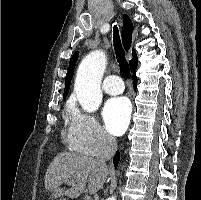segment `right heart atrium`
Here are the masks:
<instances>
[{
	"instance_id": "right-heart-atrium-1",
	"label": "right heart atrium",
	"mask_w": 201,
	"mask_h": 200,
	"mask_svg": "<svg viewBox=\"0 0 201 200\" xmlns=\"http://www.w3.org/2000/svg\"><path fill=\"white\" fill-rule=\"evenodd\" d=\"M69 119L68 139L70 145L80 153L99 155L114 149L115 140L93 115L72 108Z\"/></svg>"
}]
</instances>
